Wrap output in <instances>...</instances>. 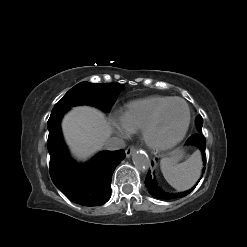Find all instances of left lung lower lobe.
<instances>
[{
	"instance_id": "1",
	"label": "left lung lower lobe",
	"mask_w": 247,
	"mask_h": 247,
	"mask_svg": "<svg viewBox=\"0 0 247 247\" xmlns=\"http://www.w3.org/2000/svg\"><path fill=\"white\" fill-rule=\"evenodd\" d=\"M186 143L199 148L202 154V157H203L204 164H206V156H205L206 139L205 137L201 133H196L190 136L188 140L186 141ZM198 183L199 181L196 183V185L192 189L188 191L173 194V193H167L161 190L156 185L155 179L152 177L150 171L147 174L146 179H145V184H146V187L148 188L149 193L155 198L165 199V200L180 198V197H184L188 195L190 192L194 190V188L197 186Z\"/></svg>"
}]
</instances>
